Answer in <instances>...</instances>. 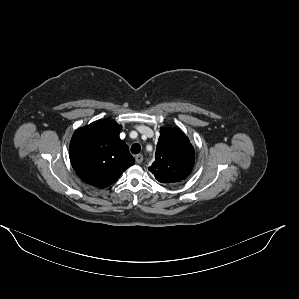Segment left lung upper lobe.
I'll return each mask as SVG.
<instances>
[{"instance_id":"left-lung-upper-lobe-1","label":"left lung upper lobe","mask_w":299,"mask_h":299,"mask_svg":"<svg viewBox=\"0 0 299 299\" xmlns=\"http://www.w3.org/2000/svg\"><path fill=\"white\" fill-rule=\"evenodd\" d=\"M195 160L194 148L186 135L177 128H161L155 161L149 167L161 183L185 180Z\"/></svg>"}]
</instances>
